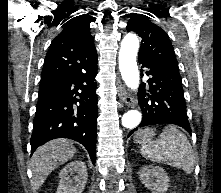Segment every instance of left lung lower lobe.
Wrapping results in <instances>:
<instances>
[{"instance_id": "left-lung-lower-lobe-1", "label": "left lung lower lobe", "mask_w": 221, "mask_h": 193, "mask_svg": "<svg viewBox=\"0 0 221 193\" xmlns=\"http://www.w3.org/2000/svg\"><path fill=\"white\" fill-rule=\"evenodd\" d=\"M138 60L146 68L141 76H149V89L145 90V83L140 88L138 98L143 118L128 137L138 128L164 123L178 125L191 133L179 69L140 56Z\"/></svg>"}]
</instances>
